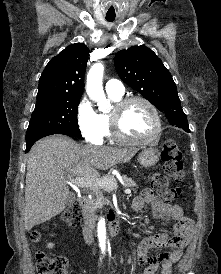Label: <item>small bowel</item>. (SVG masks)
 Returning a JSON list of instances; mask_svg holds the SVG:
<instances>
[{
  "label": "small bowel",
  "instance_id": "c3829d8e",
  "mask_svg": "<svg viewBox=\"0 0 221 274\" xmlns=\"http://www.w3.org/2000/svg\"><path fill=\"white\" fill-rule=\"evenodd\" d=\"M145 204L152 207L153 216L159 220L175 221L172 236L160 232L144 238L136 250V259L144 267L142 274H171L173 266L181 258L185 247L193 236V222L187 218L182 209L173 204L163 202L149 189H144L133 200L132 209L139 212ZM169 249L155 256H150L151 250Z\"/></svg>",
  "mask_w": 221,
  "mask_h": 274
}]
</instances>
